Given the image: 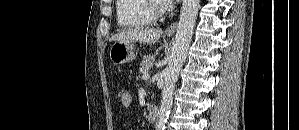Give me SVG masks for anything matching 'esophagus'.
Wrapping results in <instances>:
<instances>
[{"instance_id":"34e87169","label":"esophagus","mask_w":299,"mask_h":130,"mask_svg":"<svg viewBox=\"0 0 299 130\" xmlns=\"http://www.w3.org/2000/svg\"><path fill=\"white\" fill-rule=\"evenodd\" d=\"M176 22H173L169 25V27L166 29L167 34H173L176 30Z\"/></svg>"}]
</instances>
